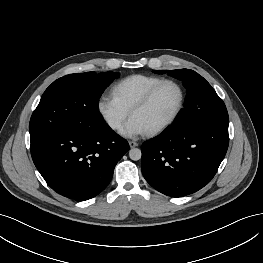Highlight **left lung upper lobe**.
Wrapping results in <instances>:
<instances>
[{
    "label": "left lung upper lobe",
    "instance_id": "left-lung-upper-lobe-1",
    "mask_svg": "<svg viewBox=\"0 0 263 263\" xmlns=\"http://www.w3.org/2000/svg\"><path fill=\"white\" fill-rule=\"evenodd\" d=\"M154 72L158 74L168 72L169 75L181 79L187 88L185 109L178 114L171 125L173 128L190 132L210 123L229 121L222 99L211 85L195 71L178 69Z\"/></svg>",
    "mask_w": 263,
    "mask_h": 263
}]
</instances>
